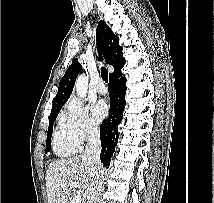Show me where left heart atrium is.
<instances>
[{
	"mask_svg": "<svg viewBox=\"0 0 214 203\" xmlns=\"http://www.w3.org/2000/svg\"><path fill=\"white\" fill-rule=\"evenodd\" d=\"M92 112L97 121L103 120L108 114V106L104 100H98L92 107Z\"/></svg>",
	"mask_w": 214,
	"mask_h": 203,
	"instance_id": "left-heart-atrium-1",
	"label": "left heart atrium"
}]
</instances>
